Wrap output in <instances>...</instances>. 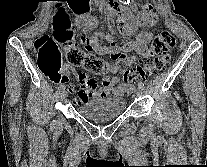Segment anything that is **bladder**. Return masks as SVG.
Masks as SVG:
<instances>
[{
  "label": "bladder",
  "mask_w": 207,
  "mask_h": 167,
  "mask_svg": "<svg viewBox=\"0 0 207 167\" xmlns=\"http://www.w3.org/2000/svg\"><path fill=\"white\" fill-rule=\"evenodd\" d=\"M126 108V100L121 96L96 97L77 106V112L94 122H107L119 117Z\"/></svg>",
  "instance_id": "obj_1"
}]
</instances>
